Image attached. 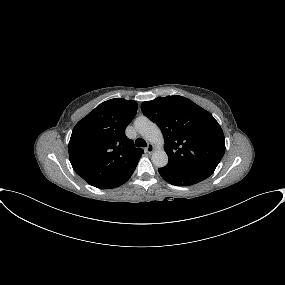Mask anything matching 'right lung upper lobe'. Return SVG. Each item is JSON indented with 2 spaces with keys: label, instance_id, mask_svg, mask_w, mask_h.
<instances>
[{
  "label": "right lung upper lobe",
  "instance_id": "1",
  "mask_svg": "<svg viewBox=\"0 0 285 285\" xmlns=\"http://www.w3.org/2000/svg\"><path fill=\"white\" fill-rule=\"evenodd\" d=\"M137 112L133 100L115 98L98 105L80 120L69 141L75 172L100 189L118 187L129 180L144 153L125 136Z\"/></svg>",
  "mask_w": 285,
  "mask_h": 285
}]
</instances>
